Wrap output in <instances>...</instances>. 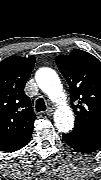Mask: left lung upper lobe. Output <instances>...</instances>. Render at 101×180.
<instances>
[{
    "label": "left lung upper lobe",
    "instance_id": "1",
    "mask_svg": "<svg viewBox=\"0 0 101 180\" xmlns=\"http://www.w3.org/2000/svg\"><path fill=\"white\" fill-rule=\"evenodd\" d=\"M56 64L70 87L75 128L101 134V62L90 53L75 49L69 55L58 56Z\"/></svg>",
    "mask_w": 101,
    "mask_h": 180
}]
</instances>
